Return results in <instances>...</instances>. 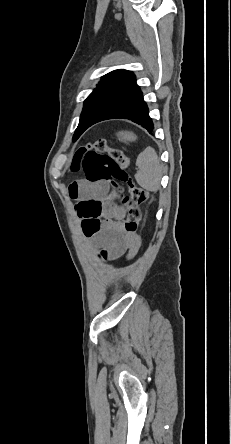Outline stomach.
Masks as SVG:
<instances>
[{
	"label": "stomach",
	"instance_id": "1",
	"mask_svg": "<svg viewBox=\"0 0 231 444\" xmlns=\"http://www.w3.org/2000/svg\"><path fill=\"white\" fill-rule=\"evenodd\" d=\"M117 137L120 141H123V142H131V141L136 140L135 134H133L132 132H128V131L118 132Z\"/></svg>",
	"mask_w": 231,
	"mask_h": 444
}]
</instances>
